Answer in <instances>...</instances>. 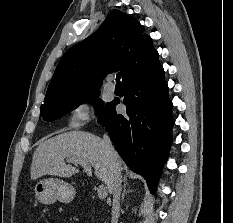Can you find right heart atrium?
<instances>
[{
    "instance_id": "obj_1",
    "label": "right heart atrium",
    "mask_w": 233,
    "mask_h": 223,
    "mask_svg": "<svg viewBox=\"0 0 233 223\" xmlns=\"http://www.w3.org/2000/svg\"><path fill=\"white\" fill-rule=\"evenodd\" d=\"M96 102L92 98L81 99L73 108L69 124L71 127H80L88 124L94 115Z\"/></svg>"
}]
</instances>
